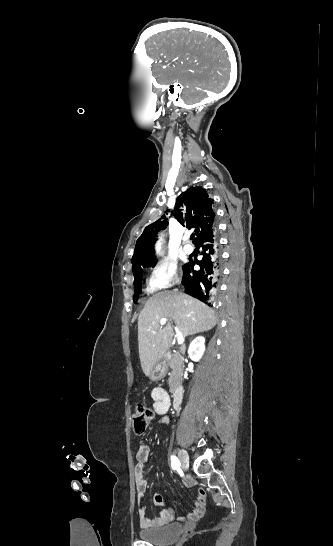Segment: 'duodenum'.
Masks as SVG:
<instances>
[{"label":"duodenum","instance_id":"410a0bca","mask_svg":"<svg viewBox=\"0 0 333 546\" xmlns=\"http://www.w3.org/2000/svg\"><path fill=\"white\" fill-rule=\"evenodd\" d=\"M184 389L182 386H178L174 389L172 395V403L175 408H178L183 400Z\"/></svg>","mask_w":333,"mask_h":546}]
</instances>
